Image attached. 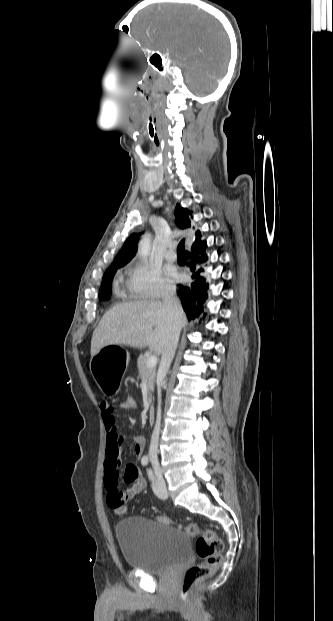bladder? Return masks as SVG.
<instances>
[{"instance_id":"obj_1","label":"bladder","mask_w":333,"mask_h":621,"mask_svg":"<svg viewBox=\"0 0 333 621\" xmlns=\"http://www.w3.org/2000/svg\"><path fill=\"white\" fill-rule=\"evenodd\" d=\"M115 533L126 564L149 574L169 573L190 552L188 536L157 519L129 517L117 523Z\"/></svg>"}]
</instances>
